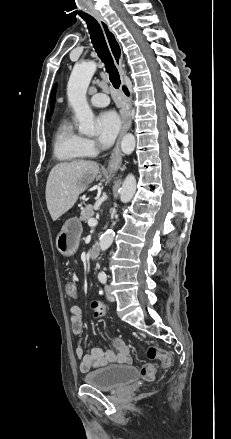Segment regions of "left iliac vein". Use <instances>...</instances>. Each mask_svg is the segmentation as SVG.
<instances>
[{
    "mask_svg": "<svg viewBox=\"0 0 231 439\" xmlns=\"http://www.w3.org/2000/svg\"><path fill=\"white\" fill-rule=\"evenodd\" d=\"M105 291H106L107 299L111 302H114L115 296L112 294V290H111V287L109 285H106Z\"/></svg>",
    "mask_w": 231,
    "mask_h": 439,
    "instance_id": "left-iliac-vein-1",
    "label": "left iliac vein"
}]
</instances>
